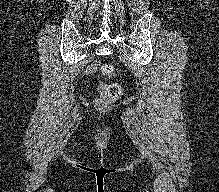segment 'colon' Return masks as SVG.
<instances>
[{"label": "colon", "mask_w": 219, "mask_h": 192, "mask_svg": "<svg viewBox=\"0 0 219 192\" xmlns=\"http://www.w3.org/2000/svg\"><path fill=\"white\" fill-rule=\"evenodd\" d=\"M101 74L104 76H113L115 74V68L110 64H104L101 66ZM99 90L101 96L97 100V106L102 110L118 100L123 93L122 87L117 83H101Z\"/></svg>", "instance_id": "1"}]
</instances>
